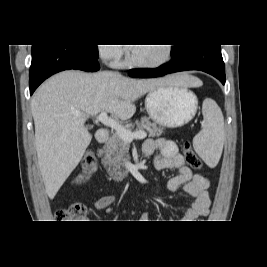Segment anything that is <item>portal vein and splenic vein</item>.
Here are the masks:
<instances>
[{
  "label": "portal vein and splenic vein",
  "instance_id": "18ae733b",
  "mask_svg": "<svg viewBox=\"0 0 267 267\" xmlns=\"http://www.w3.org/2000/svg\"><path fill=\"white\" fill-rule=\"evenodd\" d=\"M96 119L103 125L110 127L125 141L132 142L134 139H144L147 134L144 131L131 132L123 127L118 121L109 117L106 112H101L96 116Z\"/></svg>",
  "mask_w": 267,
  "mask_h": 267
}]
</instances>
